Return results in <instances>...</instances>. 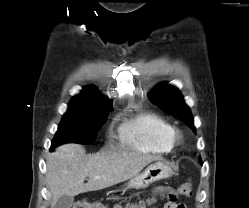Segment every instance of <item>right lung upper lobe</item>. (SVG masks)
I'll return each instance as SVG.
<instances>
[{
	"instance_id": "right-lung-upper-lobe-1",
	"label": "right lung upper lobe",
	"mask_w": 249,
	"mask_h": 208,
	"mask_svg": "<svg viewBox=\"0 0 249 208\" xmlns=\"http://www.w3.org/2000/svg\"><path fill=\"white\" fill-rule=\"evenodd\" d=\"M112 100L102 96L96 89L85 87L83 94L75 96L69 108H89L95 110H111Z\"/></svg>"
}]
</instances>
